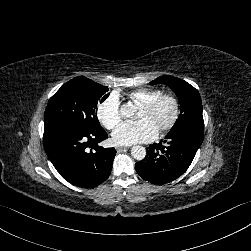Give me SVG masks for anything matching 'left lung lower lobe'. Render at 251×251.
<instances>
[{
    "label": "left lung lower lobe",
    "instance_id": "left-lung-lower-lobe-1",
    "mask_svg": "<svg viewBox=\"0 0 251 251\" xmlns=\"http://www.w3.org/2000/svg\"><path fill=\"white\" fill-rule=\"evenodd\" d=\"M203 137L204 133L185 130L167 134L164 141L150 145L145 158L135 164L137 173L153 184L172 182L188 169Z\"/></svg>",
    "mask_w": 251,
    "mask_h": 251
}]
</instances>
